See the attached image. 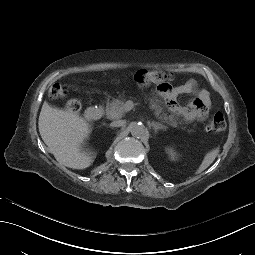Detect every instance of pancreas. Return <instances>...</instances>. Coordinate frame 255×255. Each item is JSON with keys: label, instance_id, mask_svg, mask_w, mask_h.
Instances as JSON below:
<instances>
[{"label": "pancreas", "instance_id": "cf45deb5", "mask_svg": "<svg viewBox=\"0 0 255 255\" xmlns=\"http://www.w3.org/2000/svg\"><path fill=\"white\" fill-rule=\"evenodd\" d=\"M151 109L155 110V115L159 119L171 124L173 127L177 126V122L174 119L173 115L167 116L166 114L161 113V108L151 105ZM124 102L118 99H113L111 102H108L106 105V115L109 119H119L125 113Z\"/></svg>", "mask_w": 255, "mask_h": 255}]
</instances>
